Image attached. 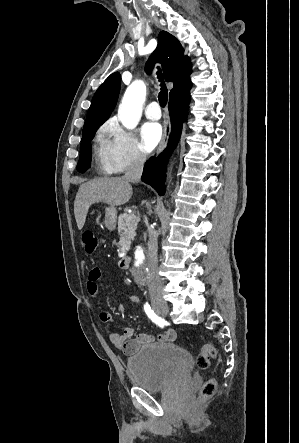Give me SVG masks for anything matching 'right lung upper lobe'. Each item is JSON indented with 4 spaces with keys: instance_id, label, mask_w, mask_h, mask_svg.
I'll return each instance as SVG.
<instances>
[{
    "instance_id": "obj_1",
    "label": "right lung upper lobe",
    "mask_w": 299,
    "mask_h": 443,
    "mask_svg": "<svg viewBox=\"0 0 299 443\" xmlns=\"http://www.w3.org/2000/svg\"><path fill=\"white\" fill-rule=\"evenodd\" d=\"M179 41L166 31L158 36V46L146 64V70L151 71L155 62L162 64L164 77L167 82H174V88L170 94L190 83L191 63ZM120 74H111L96 91L83 132L89 128L100 126L111 115L120 90Z\"/></svg>"
}]
</instances>
